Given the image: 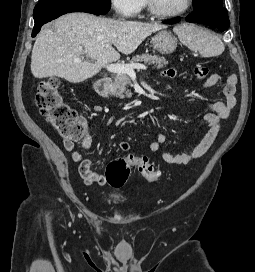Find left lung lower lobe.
Wrapping results in <instances>:
<instances>
[{"mask_svg":"<svg viewBox=\"0 0 255 272\" xmlns=\"http://www.w3.org/2000/svg\"><path fill=\"white\" fill-rule=\"evenodd\" d=\"M180 19L168 20L163 23L174 24ZM187 22L201 23L216 27L220 31L226 30L230 21L226 9L219 3H208L199 8H196L187 18Z\"/></svg>","mask_w":255,"mask_h":272,"instance_id":"left-lung-lower-lobe-1","label":"left lung lower lobe"}]
</instances>
